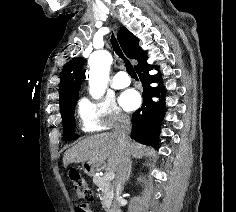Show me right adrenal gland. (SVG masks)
Wrapping results in <instances>:
<instances>
[{
	"label": "right adrenal gland",
	"mask_w": 236,
	"mask_h": 212,
	"mask_svg": "<svg viewBox=\"0 0 236 212\" xmlns=\"http://www.w3.org/2000/svg\"><path fill=\"white\" fill-rule=\"evenodd\" d=\"M131 170H132V162H130V168H129V173H128V178H127V181H128V179H129V177H130Z\"/></svg>",
	"instance_id": "obj_1"
}]
</instances>
